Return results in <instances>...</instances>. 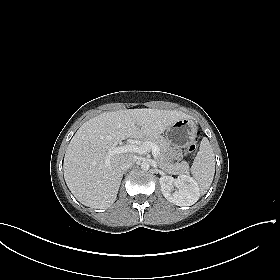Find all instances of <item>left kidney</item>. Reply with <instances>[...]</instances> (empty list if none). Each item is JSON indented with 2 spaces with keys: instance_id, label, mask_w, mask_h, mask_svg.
Returning <instances> with one entry per match:
<instances>
[{
  "instance_id": "1",
  "label": "left kidney",
  "mask_w": 280,
  "mask_h": 280,
  "mask_svg": "<svg viewBox=\"0 0 280 280\" xmlns=\"http://www.w3.org/2000/svg\"><path fill=\"white\" fill-rule=\"evenodd\" d=\"M159 182L163 196L177 206H191L200 197V188L189 175H180L177 179L162 176Z\"/></svg>"
}]
</instances>
